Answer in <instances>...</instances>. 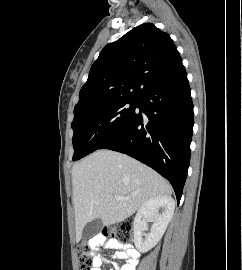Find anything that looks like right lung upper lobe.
<instances>
[{"label":"right lung upper lobe","mask_w":242,"mask_h":270,"mask_svg":"<svg viewBox=\"0 0 242 270\" xmlns=\"http://www.w3.org/2000/svg\"><path fill=\"white\" fill-rule=\"evenodd\" d=\"M182 65L170 36L141 24L106 45L80 90L74 114L117 100H137L152 84Z\"/></svg>","instance_id":"cb5924a9"}]
</instances>
